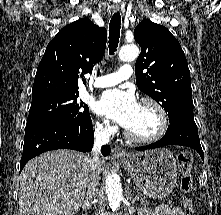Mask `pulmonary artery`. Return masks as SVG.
Instances as JSON below:
<instances>
[{"label":"pulmonary artery","instance_id":"e3ab8cb5","mask_svg":"<svg viewBox=\"0 0 221 215\" xmlns=\"http://www.w3.org/2000/svg\"><path fill=\"white\" fill-rule=\"evenodd\" d=\"M132 67L130 65L121 66L116 72L95 78L94 87L104 88L116 85L132 76Z\"/></svg>","mask_w":221,"mask_h":215}]
</instances>
